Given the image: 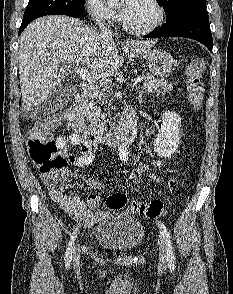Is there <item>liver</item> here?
<instances>
[{
	"instance_id": "1",
	"label": "liver",
	"mask_w": 233,
	"mask_h": 294,
	"mask_svg": "<svg viewBox=\"0 0 233 294\" xmlns=\"http://www.w3.org/2000/svg\"><path fill=\"white\" fill-rule=\"evenodd\" d=\"M156 41L122 43L130 57L144 55ZM112 38H102L81 20L47 16L29 24L21 35L19 77L22 105L33 110L46 101L67 78V65H86L93 80L115 75L123 65V55Z\"/></svg>"
}]
</instances>
